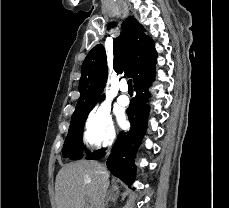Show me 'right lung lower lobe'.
Returning <instances> with one entry per match:
<instances>
[{"instance_id":"obj_1","label":"right lung lower lobe","mask_w":229,"mask_h":208,"mask_svg":"<svg viewBox=\"0 0 229 208\" xmlns=\"http://www.w3.org/2000/svg\"><path fill=\"white\" fill-rule=\"evenodd\" d=\"M154 73L155 69L134 83L136 96L127 109V115L131 122L130 131L119 133L107 161L110 172L128 185L135 180L134 158L147 127L149 106L145 102L149 98L148 87L154 80ZM104 155L105 148H102L87 155L86 159L98 160Z\"/></svg>"}]
</instances>
